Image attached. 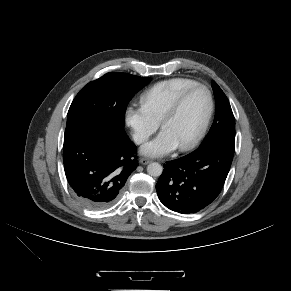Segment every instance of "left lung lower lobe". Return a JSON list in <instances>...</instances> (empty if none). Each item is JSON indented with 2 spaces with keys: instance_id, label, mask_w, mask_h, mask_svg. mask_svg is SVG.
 I'll use <instances>...</instances> for the list:
<instances>
[{
  "instance_id": "left-lung-lower-lobe-1",
  "label": "left lung lower lobe",
  "mask_w": 291,
  "mask_h": 291,
  "mask_svg": "<svg viewBox=\"0 0 291 291\" xmlns=\"http://www.w3.org/2000/svg\"><path fill=\"white\" fill-rule=\"evenodd\" d=\"M234 142L216 141L164 164L156 190L162 204L182 214L197 213L219 195L233 160Z\"/></svg>"
}]
</instances>
